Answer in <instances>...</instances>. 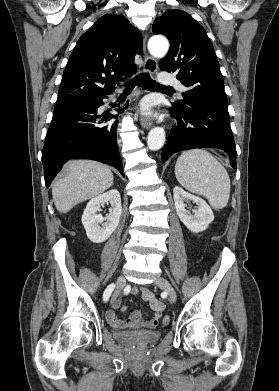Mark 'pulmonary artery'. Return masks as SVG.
Listing matches in <instances>:
<instances>
[{"instance_id": "e3ab8cb5", "label": "pulmonary artery", "mask_w": 279, "mask_h": 391, "mask_svg": "<svg viewBox=\"0 0 279 391\" xmlns=\"http://www.w3.org/2000/svg\"><path fill=\"white\" fill-rule=\"evenodd\" d=\"M159 80L164 84L176 85L181 92H184L186 90V88L181 83H179L176 78L171 74L161 73L159 75Z\"/></svg>"}]
</instances>
